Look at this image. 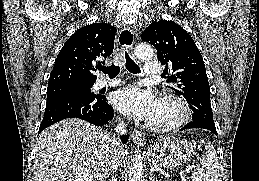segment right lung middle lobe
Listing matches in <instances>:
<instances>
[{
    "label": "right lung middle lobe",
    "mask_w": 259,
    "mask_h": 181,
    "mask_svg": "<svg viewBox=\"0 0 259 181\" xmlns=\"http://www.w3.org/2000/svg\"><path fill=\"white\" fill-rule=\"evenodd\" d=\"M94 83H62L48 86L47 104L53 101L68 96L84 95L96 98L97 95L91 92V87Z\"/></svg>",
    "instance_id": "1"
}]
</instances>
